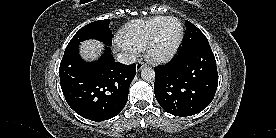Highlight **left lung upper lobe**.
Returning a JSON list of instances; mask_svg holds the SVG:
<instances>
[{
    "label": "left lung upper lobe",
    "mask_w": 276,
    "mask_h": 138,
    "mask_svg": "<svg viewBox=\"0 0 276 138\" xmlns=\"http://www.w3.org/2000/svg\"><path fill=\"white\" fill-rule=\"evenodd\" d=\"M186 36L183 41L180 52L188 50L190 47L200 43H209L206 36L191 22L186 21Z\"/></svg>",
    "instance_id": "obj_1"
}]
</instances>
